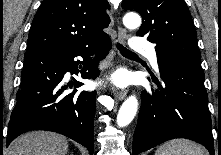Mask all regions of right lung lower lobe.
Instances as JSON below:
<instances>
[{
    "instance_id": "right-lung-lower-lobe-1",
    "label": "right lung lower lobe",
    "mask_w": 221,
    "mask_h": 155,
    "mask_svg": "<svg viewBox=\"0 0 221 155\" xmlns=\"http://www.w3.org/2000/svg\"><path fill=\"white\" fill-rule=\"evenodd\" d=\"M110 48L111 41L106 36L80 49L40 48L26 52L6 146L27 131L47 130L75 140L92 155L96 92H68V86L79 87L83 83L74 80L65 85L63 78L68 71L78 73L80 61L74 60L76 56L87 61L90 55L96 54L91 64L81 70L83 79H95L99 74L98 61Z\"/></svg>"
}]
</instances>
